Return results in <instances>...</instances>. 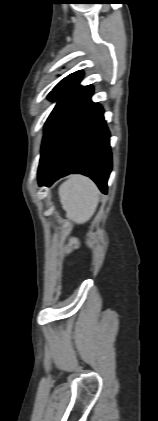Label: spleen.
<instances>
[{
	"mask_svg": "<svg viewBox=\"0 0 158 421\" xmlns=\"http://www.w3.org/2000/svg\"><path fill=\"white\" fill-rule=\"evenodd\" d=\"M58 193L66 217L74 222L84 223L95 213L99 191L89 178L81 175L71 176L60 185Z\"/></svg>",
	"mask_w": 158,
	"mask_h": 421,
	"instance_id": "1",
	"label": "spleen"
}]
</instances>
